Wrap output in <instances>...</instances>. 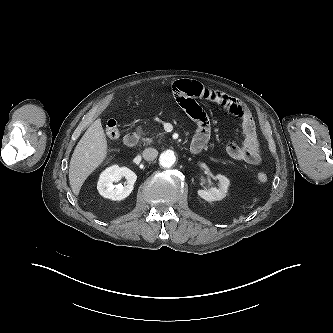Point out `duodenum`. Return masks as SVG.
<instances>
[{"label": "duodenum", "instance_id": "duodenum-1", "mask_svg": "<svg viewBox=\"0 0 333 333\" xmlns=\"http://www.w3.org/2000/svg\"><path fill=\"white\" fill-rule=\"evenodd\" d=\"M139 135L135 132H130L125 135L124 143L128 147H135L138 144ZM204 145L201 142H192L190 145V150L193 153H199L203 149Z\"/></svg>", "mask_w": 333, "mask_h": 333}]
</instances>
